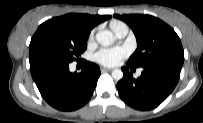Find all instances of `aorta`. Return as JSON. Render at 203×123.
Here are the masks:
<instances>
[{
    "instance_id": "aorta-1",
    "label": "aorta",
    "mask_w": 203,
    "mask_h": 123,
    "mask_svg": "<svg viewBox=\"0 0 203 123\" xmlns=\"http://www.w3.org/2000/svg\"><path fill=\"white\" fill-rule=\"evenodd\" d=\"M97 42L102 46H110L113 44L115 37L109 30L99 31L96 34ZM112 77L114 80L119 81L123 78V72L120 69H114L112 71Z\"/></svg>"
}]
</instances>
